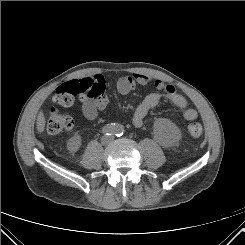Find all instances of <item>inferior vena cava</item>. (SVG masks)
I'll use <instances>...</instances> for the list:
<instances>
[{"label": "inferior vena cava", "instance_id": "inferior-vena-cava-1", "mask_svg": "<svg viewBox=\"0 0 245 245\" xmlns=\"http://www.w3.org/2000/svg\"><path fill=\"white\" fill-rule=\"evenodd\" d=\"M110 140H112V136H103L102 138V143L106 144L108 143Z\"/></svg>", "mask_w": 245, "mask_h": 245}]
</instances>
